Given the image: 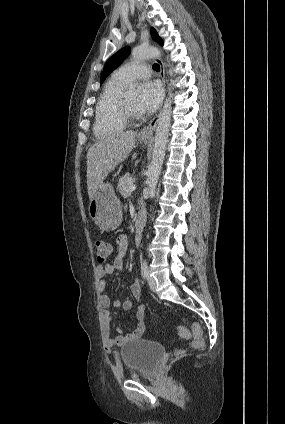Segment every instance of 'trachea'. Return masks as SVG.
<instances>
[{
  "instance_id": "obj_1",
  "label": "trachea",
  "mask_w": 285,
  "mask_h": 424,
  "mask_svg": "<svg viewBox=\"0 0 285 424\" xmlns=\"http://www.w3.org/2000/svg\"><path fill=\"white\" fill-rule=\"evenodd\" d=\"M153 69H154L155 71H160V66H159V64L154 63V64H153Z\"/></svg>"
}]
</instances>
